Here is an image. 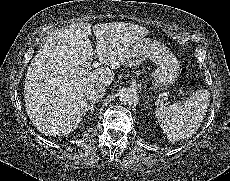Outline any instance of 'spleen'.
<instances>
[{
	"label": "spleen",
	"instance_id": "spleen-1",
	"mask_svg": "<svg viewBox=\"0 0 230 181\" xmlns=\"http://www.w3.org/2000/svg\"><path fill=\"white\" fill-rule=\"evenodd\" d=\"M208 93L200 90L169 107H160L155 116L169 140L188 139L196 133L207 108Z\"/></svg>",
	"mask_w": 230,
	"mask_h": 181
}]
</instances>
